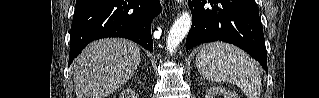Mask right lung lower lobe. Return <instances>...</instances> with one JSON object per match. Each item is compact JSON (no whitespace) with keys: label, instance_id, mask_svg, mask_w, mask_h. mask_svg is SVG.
<instances>
[{"label":"right lung lower lobe","instance_id":"98d812e1","mask_svg":"<svg viewBox=\"0 0 319 98\" xmlns=\"http://www.w3.org/2000/svg\"><path fill=\"white\" fill-rule=\"evenodd\" d=\"M161 11L159 0H76L69 64L91 41L123 37L153 52L150 25Z\"/></svg>","mask_w":319,"mask_h":98}]
</instances>
